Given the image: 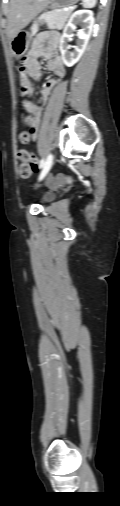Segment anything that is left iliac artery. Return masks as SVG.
<instances>
[{
    "mask_svg": "<svg viewBox=\"0 0 120 506\" xmlns=\"http://www.w3.org/2000/svg\"><path fill=\"white\" fill-rule=\"evenodd\" d=\"M44 165H45V159H44V158H42V159L40 160V162H39V168H43V167H44ZM45 174H47V171H45V172H44V175H45ZM44 177H45V176H44ZM44 177H43V178H44ZM43 178H42V179H43Z\"/></svg>",
    "mask_w": 120,
    "mask_h": 506,
    "instance_id": "obj_1",
    "label": "left iliac artery"
}]
</instances>
